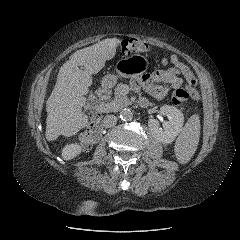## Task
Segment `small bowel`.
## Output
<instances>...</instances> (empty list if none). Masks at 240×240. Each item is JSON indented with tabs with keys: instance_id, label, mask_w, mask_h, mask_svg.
Masks as SVG:
<instances>
[{
	"instance_id": "1",
	"label": "small bowel",
	"mask_w": 240,
	"mask_h": 240,
	"mask_svg": "<svg viewBox=\"0 0 240 240\" xmlns=\"http://www.w3.org/2000/svg\"><path fill=\"white\" fill-rule=\"evenodd\" d=\"M162 63L165 66L170 63L171 66L164 70L155 71L150 77L145 75L141 81L134 80L132 82V88L136 91L144 88L155 99L162 100L169 94L170 89L181 87L184 78L187 89L193 95V98H197V92L195 90L196 81L190 68L174 54L169 57V60L164 59ZM141 104L146 106L147 100L141 98Z\"/></svg>"
}]
</instances>
